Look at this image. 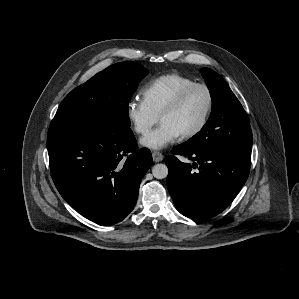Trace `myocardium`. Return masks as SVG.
<instances>
[{"label":"myocardium","instance_id":"1","mask_svg":"<svg viewBox=\"0 0 299 299\" xmlns=\"http://www.w3.org/2000/svg\"><path fill=\"white\" fill-rule=\"evenodd\" d=\"M197 88H200L205 91L207 96V106L200 122L190 131L181 134V137L183 139H190L195 137L206 127L209 118L211 116L213 104H214V97L210 87L205 83H196V82L186 86L173 97V99L163 108V110L159 114V120H160L164 115L175 111L182 104V102L185 100L188 94L192 90Z\"/></svg>","mask_w":299,"mask_h":299}]
</instances>
